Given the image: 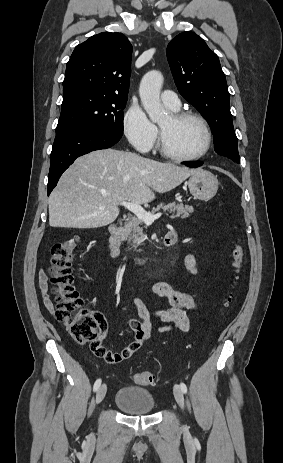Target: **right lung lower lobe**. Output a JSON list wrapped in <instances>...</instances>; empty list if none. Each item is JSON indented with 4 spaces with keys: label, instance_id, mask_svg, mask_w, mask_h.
Returning a JSON list of instances; mask_svg holds the SVG:
<instances>
[{
    "label": "right lung lower lobe",
    "instance_id": "1",
    "mask_svg": "<svg viewBox=\"0 0 283 463\" xmlns=\"http://www.w3.org/2000/svg\"><path fill=\"white\" fill-rule=\"evenodd\" d=\"M122 134L101 128H80L58 134L55 137L51 156L48 177V195L62 173L74 160L90 151L106 149L117 143Z\"/></svg>",
    "mask_w": 283,
    "mask_h": 463
}]
</instances>
